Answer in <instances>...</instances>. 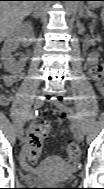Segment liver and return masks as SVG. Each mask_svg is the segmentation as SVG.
<instances>
[{"mask_svg": "<svg viewBox=\"0 0 104 189\" xmlns=\"http://www.w3.org/2000/svg\"><path fill=\"white\" fill-rule=\"evenodd\" d=\"M34 1H1L0 3V36L8 37L15 33L23 19L34 9Z\"/></svg>", "mask_w": 104, "mask_h": 189, "instance_id": "6515ba94", "label": "liver"}]
</instances>
